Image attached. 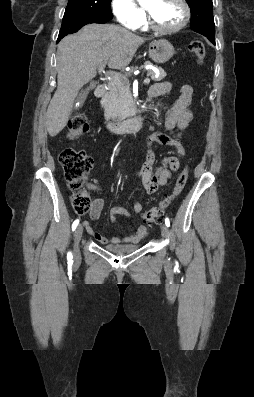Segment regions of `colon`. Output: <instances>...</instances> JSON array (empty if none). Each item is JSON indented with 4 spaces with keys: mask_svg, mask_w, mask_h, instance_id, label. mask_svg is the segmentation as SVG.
<instances>
[{
    "mask_svg": "<svg viewBox=\"0 0 254 397\" xmlns=\"http://www.w3.org/2000/svg\"><path fill=\"white\" fill-rule=\"evenodd\" d=\"M189 49L200 61L203 59L205 47L202 41H192ZM68 129L70 139H76L88 133L90 125L87 117L83 114L74 116L69 122ZM59 160L63 167L66 183L73 191L71 197L73 209L77 214H84L91 206V199L86 192L81 190V187L92 169V158L83 151L67 148L60 153ZM187 179L188 168L185 167L178 176L172 191L160 200L155 207L143 214V221L146 224H153L161 218L164 210L182 193Z\"/></svg>",
    "mask_w": 254,
    "mask_h": 397,
    "instance_id": "colon-1",
    "label": "colon"
}]
</instances>
